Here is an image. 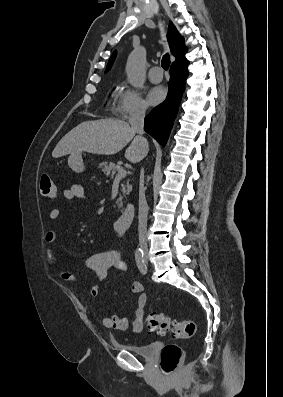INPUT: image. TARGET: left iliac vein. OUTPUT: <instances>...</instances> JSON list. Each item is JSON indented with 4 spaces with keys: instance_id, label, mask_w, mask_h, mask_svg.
Listing matches in <instances>:
<instances>
[{
    "instance_id": "left-iliac-vein-1",
    "label": "left iliac vein",
    "mask_w": 283,
    "mask_h": 397,
    "mask_svg": "<svg viewBox=\"0 0 283 397\" xmlns=\"http://www.w3.org/2000/svg\"><path fill=\"white\" fill-rule=\"evenodd\" d=\"M145 262H146V263L148 262V257H147V256H145Z\"/></svg>"
}]
</instances>
